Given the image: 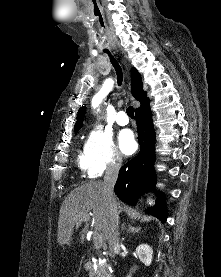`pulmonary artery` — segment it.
Segmentation results:
<instances>
[{
	"label": "pulmonary artery",
	"instance_id": "pulmonary-artery-1",
	"mask_svg": "<svg viewBox=\"0 0 221 277\" xmlns=\"http://www.w3.org/2000/svg\"><path fill=\"white\" fill-rule=\"evenodd\" d=\"M115 120H116L117 124H119L121 126H125L129 123V119L124 111H119L116 114Z\"/></svg>",
	"mask_w": 221,
	"mask_h": 277
}]
</instances>
